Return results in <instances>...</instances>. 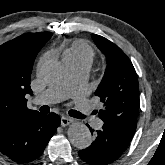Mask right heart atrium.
<instances>
[{
  "instance_id": "obj_1",
  "label": "right heart atrium",
  "mask_w": 165,
  "mask_h": 165,
  "mask_svg": "<svg viewBox=\"0 0 165 165\" xmlns=\"http://www.w3.org/2000/svg\"><path fill=\"white\" fill-rule=\"evenodd\" d=\"M45 58H46V56H44V57L41 59L40 63H42V62L45 60Z\"/></svg>"
}]
</instances>
